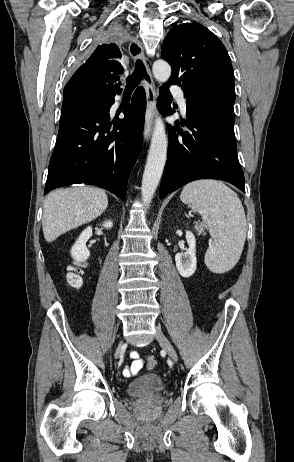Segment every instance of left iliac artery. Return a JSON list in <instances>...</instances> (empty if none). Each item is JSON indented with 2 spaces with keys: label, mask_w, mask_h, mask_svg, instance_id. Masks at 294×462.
<instances>
[{
  "label": "left iliac artery",
  "mask_w": 294,
  "mask_h": 462,
  "mask_svg": "<svg viewBox=\"0 0 294 462\" xmlns=\"http://www.w3.org/2000/svg\"><path fill=\"white\" fill-rule=\"evenodd\" d=\"M166 362H167L169 365H172L171 359H170V358H167V359H166Z\"/></svg>",
  "instance_id": "obj_1"
}]
</instances>
